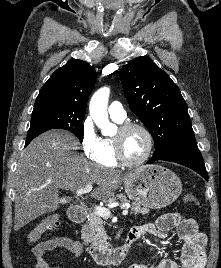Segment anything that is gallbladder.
I'll list each match as a JSON object with an SVG mask.
<instances>
[{"mask_svg": "<svg viewBox=\"0 0 221 268\" xmlns=\"http://www.w3.org/2000/svg\"><path fill=\"white\" fill-rule=\"evenodd\" d=\"M62 200H63V202H66V201H68V200H67V199H65V198H63Z\"/></svg>", "mask_w": 221, "mask_h": 268, "instance_id": "gallbladder-1", "label": "gallbladder"}]
</instances>
